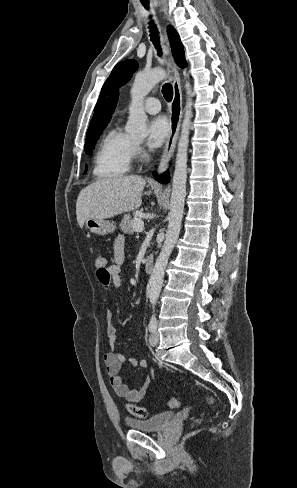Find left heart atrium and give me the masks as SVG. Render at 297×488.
<instances>
[{"instance_id": "obj_1", "label": "left heart atrium", "mask_w": 297, "mask_h": 488, "mask_svg": "<svg viewBox=\"0 0 297 488\" xmlns=\"http://www.w3.org/2000/svg\"><path fill=\"white\" fill-rule=\"evenodd\" d=\"M170 134V125L165 116H158L149 123L148 145L152 148L161 146Z\"/></svg>"}]
</instances>
